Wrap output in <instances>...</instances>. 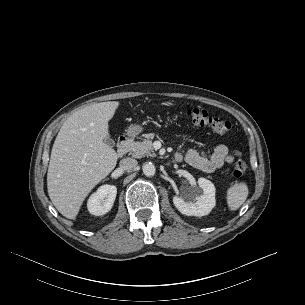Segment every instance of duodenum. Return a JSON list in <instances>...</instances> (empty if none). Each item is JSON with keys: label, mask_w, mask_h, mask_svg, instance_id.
Returning a JSON list of instances; mask_svg holds the SVG:
<instances>
[{"label": "duodenum", "mask_w": 305, "mask_h": 305, "mask_svg": "<svg viewBox=\"0 0 305 305\" xmlns=\"http://www.w3.org/2000/svg\"><path fill=\"white\" fill-rule=\"evenodd\" d=\"M130 144H131V139L129 137H121L116 148L117 155L123 156L124 154H126L127 151L129 150Z\"/></svg>", "instance_id": "duodenum-1"}]
</instances>
